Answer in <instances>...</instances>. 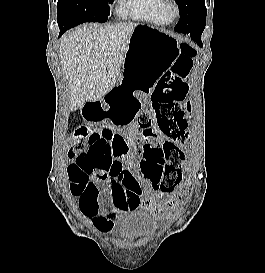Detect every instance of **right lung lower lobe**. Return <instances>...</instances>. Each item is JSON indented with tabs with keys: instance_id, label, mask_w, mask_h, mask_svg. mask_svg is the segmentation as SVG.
Wrapping results in <instances>:
<instances>
[{
	"instance_id": "1",
	"label": "right lung lower lobe",
	"mask_w": 265,
	"mask_h": 273,
	"mask_svg": "<svg viewBox=\"0 0 265 273\" xmlns=\"http://www.w3.org/2000/svg\"><path fill=\"white\" fill-rule=\"evenodd\" d=\"M65 31H63V30H60V35L59 36H61L63 33H64Z\"/></svg>"
}]
</instances>
